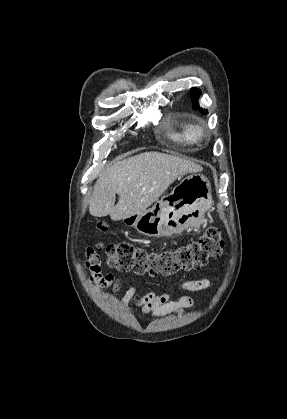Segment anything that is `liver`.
<instances>
[{"label":"liver","instance_id":"obj_1","mask_svg":"<svg viewBox=\"0 0 287 419\" xmlns=\"http://www.w3.org/2000/svg\"><path fill=\"white\" fill-rule=\"evenodd\" d=\"M202 167L186 157L157 151L140 153L104 170L94 185L89 213L110 215L113 221L139 214L155 202L180 176ZM116 194L119 195L115 205Z\"/></svg>","mask_w":287,"mask_h":419}]
</instances>
